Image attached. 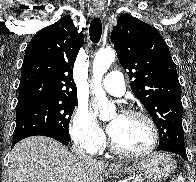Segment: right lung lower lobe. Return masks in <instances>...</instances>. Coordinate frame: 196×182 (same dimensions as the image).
Masks as SVG:
<instances>
[{
    "label": "right lung lower lobe",
    "instance_id": "obj_1",
    "mask_svg": "<svg viewBox=\"0 0 196 182\" xmlns=\"http://www.w3.org/2000/svg\"><path fill=\"white\" fill-rule=\"evenodd\" d=\"M35 135H42V136H47V137H51L54 138L58 141H60L61 143H63L64 145H68L70 143L71 140H67L65 139L62 135L56 133V132H51V131H34L28 134H24L21 136H18L16 138L13 139L12 141V147L20 140L26 138V137H30V136H35Z\"/></svg>",
    "mask_w": 196,
    "mask_h": 182
}]
</instances>
